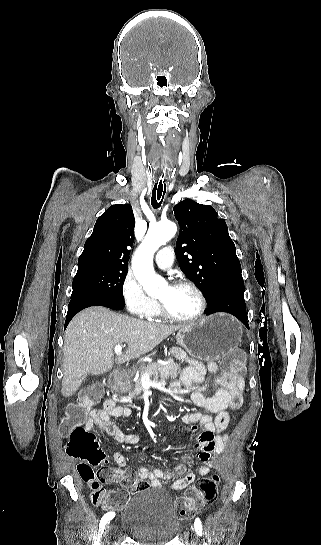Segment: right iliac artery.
<instances>
[{
	"mask_svg": "<svg viewBox=\"0 0 321 545\" xmlns=\"http://www.w3.org/2000/svg\"><path fill=\"white\" fill-rule=\"evenodd\" d=\"M114 516H115L114 512H108L101 518V521L99 524V532L96 537L94 545H100V541H101V537H102V533L104 531L105 525L106 523H109L110 520L114 518Z\"/></svg>",
	"mask_w": 321,
	"mask_h": 545,
	"instance_id": "obj_1",
	"label": "right iliac artery"
}]
</instances>
